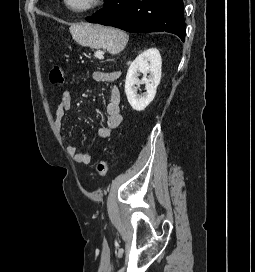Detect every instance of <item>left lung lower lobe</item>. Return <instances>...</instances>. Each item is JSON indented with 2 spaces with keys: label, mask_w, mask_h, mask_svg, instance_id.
Instances as JSON below:
<instances>
[{
  "label": "left lung lower lobe",
  "mask_w": 255,
  "mask_h": 272,
  "mask_svg": "<svg viewBox=\"0 0 255 272\" xmlns=\"http://www.w3.org/2000/svg\"><path fill=\"white\" fill-rule=\"evenodd\" d=\"M183 0H106L88 22L127 32H169L185 39Z\"/></svg>",
  "instance_id": "1"
}]
</instances>
